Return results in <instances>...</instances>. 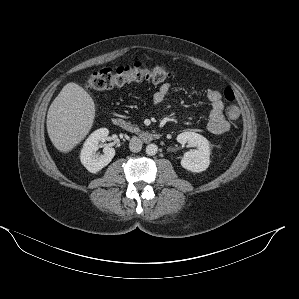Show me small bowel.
<instances>
[{"instance_id":"1","label":"small bowel","mask_w":299,"mask_h":299,"mask_svg":"<svg viewBox=\"0 0 299 299\" xmlns=\"http://www.w3.org/2000/svg\"><path fill=\"white\" fill-rule=\"evenodd\" d=\"M169 83H164L153 93L152 100L155 104L162 103L170 92ZM207 98L210 102L209 120L207 129L215 135H221L229 131L230 124L223 115V102L221 94L217 90H208Z\"/></svg>"}]
</instances>
